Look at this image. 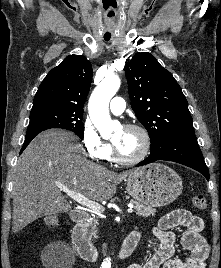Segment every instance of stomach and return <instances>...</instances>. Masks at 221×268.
<instances>
[{
    "mask_svg": "<svg viewBox=\"0 0 221 268\" xmlns=\"http://www.w3.org/2000/svg\"><path fill=\"white\" fill-rule=\"evenodd\" d=\"M128 193L150 207H163L181 194V177L170 167L153 163L135 169L126 179Z\"/></svg>",
    "mask_w": 221,
    "mask_h": 268,
    "instance_id": "0dacf381",
    "label": "stomach"
}]
</instances>
